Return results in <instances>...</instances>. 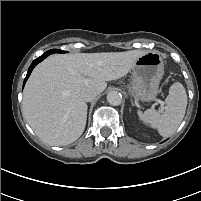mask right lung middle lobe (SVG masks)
I'll return each instance as SVG.
<instances>
[{
    "label": "right lung middle lobe",
    "mask_w": 201,
    "mask_h": 201,
    "mask_svg": "<svg viewBox=\"0 0 201 201\" xmlns=\"http://www.w3.org/2000/svg\"><path fill=\"white\" fill-rule=\"evenodd\" d=\"M49 52H50V54H52V53H55V52H57V53H64L65 51L53 49V50H49Z\"/></svg>",
    "instance_id": "obj_1"
}]
</instances>
